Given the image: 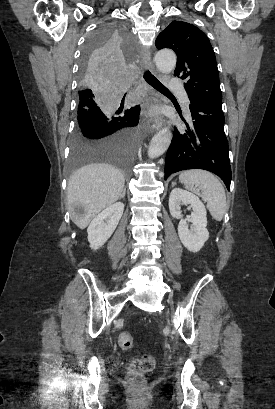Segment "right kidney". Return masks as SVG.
Returning a JSON list of instances; mask_svg holds the SVG:
<instances>
[{
  "instance_id": "1",
  "label": "right kidney",
  "mask_w": 275,
  "mask_h": 409,
  "mask_svg": "<svg viewBox=\"0 0 275 409\" xmlns=\"http://www.w3.org/2000/svg\"><path fill=\"white\" fill-rule=\"evenodd\" d=\"M124 211L123 202H114L91 221L87 233L91 249H99L114 233Z\"/></svg>"
}]
</instances>
